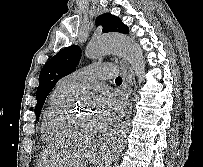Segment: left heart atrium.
Wrapping results in <instances>:
<instances>
[{
  "mask_svg": "<svg viewBox=\"0 0 203 167\" xmlns=\"http://www.w3.org/2000/svg\"><path fill=\"white\" fill-rule=\"evenodd\" d=\"M121 108L120 98L110 92H103L98 98V109L95 115L98 129L108 126Z\"/></svg>",
  "mask_w": 203,
  "mask_h": 167,
  "instance_id": "left-heart-atrium-1",
  "label": "left heart atrium"
}]
</instances>
